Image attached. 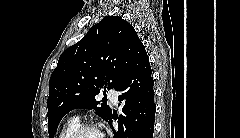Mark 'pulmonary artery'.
Instances as JSON below:
<instances>
[{"label":"pulmonary artery","instance_id":"e3ab8cb5","mask_svg":"<svg viewBox=\"0 0 240 138\" xmlns=\"http://www.w3.org/2000/svg\"><path fill=\"white\" fill-rule=\"evenodd\" d=\"M118 92L117 91H115V90H110L109 91V94H108V96H109V99L112 101V103L113 104H117V102H118Z\"/></svg>","mask_w":240,"mask_h":138}]
</instances>
